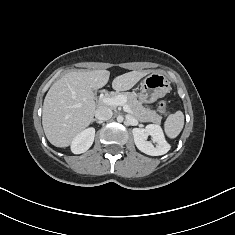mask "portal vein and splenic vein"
I'll return each instance as SVG.
<instances>
[{
	"label": "portal vein and splenic vein",
	"instance_id": "portal-vein-and-splenic-vein-1",
	"mask_svg": "<svg viewBox=\"0 0 235 235\" xmlns=\"http://www.w3.org/2000/svg\"><path fill=\"white\" fill-rule=\"evenodd\" d=\"M102 102L110 106H123V110L127 113H133L127 104V100L123 95H118L116 97H105L101 98Z\"/></svg>",
	"mask_w": 235,
	"mask_h": 235
}]
</instances>
